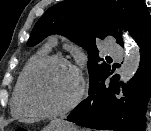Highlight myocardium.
I'll return each mask as SVG.
<instances>
[{
	"instance_id": "myocardium-1",
	"label": "myocardium",
	"mask_w": 151,
	"mask_h": 131,
	"mask_svg": "<svg viewBox=\"0 0 151 131\" xmlns=\"http://www.w3.org/2000/svg\"><path fill=\"white\" fill-rule=\"evenodd\" d=\"M50 64H61L68 67L75 75L77 80L76 90L71 97V99L61 108L53 111H41L33 108L28 101V85L32 75L40 68L50 65ZM85 93V82L82 76V73L76 65H74L68 59L57 56V55H47L32 63L29 68L26 70L25 75L21 84V91L19 97V103L21 109L30 116L39 117V118H54L61 115H64L72 111L82 100Z\"/></svg>"
}]
</instances>
